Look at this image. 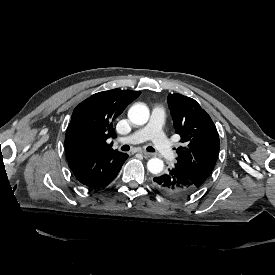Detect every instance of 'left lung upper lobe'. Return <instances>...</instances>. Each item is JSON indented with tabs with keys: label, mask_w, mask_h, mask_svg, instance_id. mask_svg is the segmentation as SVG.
Returning a JSON list of instances; mask_svg holds the SVG:
<instances>
[{
	"label": "left lung upper lobe",
	"mask_w": 275,
	"mask_h": 275,
	"mask_svg": "<svg viewBox=\"0 0 275 275\" xmlns=\"http://www.w3.org/2000/svg\"><path fill=\"white\" fill-rule=\"evenodd\" d=\"M175 132L184 147L177 148V164L199 188L214 169L219 155V135L210 116L194 99L175 93L168 95Z\"/></svg>",
	"instance_id": "5c2ea615"
}]
</instances>
